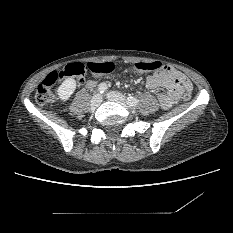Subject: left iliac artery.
Returning <instances> with one entry per match:
<instances>
[{
    "label": "left iliac artery",
    "instance_id": "44dca946",
    "mask_svg": "<svg viewBox=\"0 0 233 233\" xmlns=\"http://www.w3.org/2000/svg\"><path fill=\"white\" fill-rule=\"evenodd\" d=\"M127 103L130 106H136L139 103V100L137 98H134V97H128Z\"/></svg>",
    "mask_w": 233,
    "mask_h": 233
}]
</instances>
